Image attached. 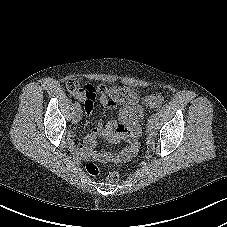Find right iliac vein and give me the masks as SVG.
I'll use <instances>...</instances> for the list:
<instances>
[{"label": "right iliac vein", "instance_id": "63e3f726", "mask_svg": "<svg viewBox=\"0 0 227 227\" xmlns=\"http://www.w3.org/2000/svg\"><path fill=\"white\" fill-rule=\"evenodd\" d=\"M81 117H82V113L80 110H77L74 115H73V119H72V122L74 124H77L80 120H81Z\"/></svg>", "mask_w": 227, "mask_h": 227}]
</instances>
